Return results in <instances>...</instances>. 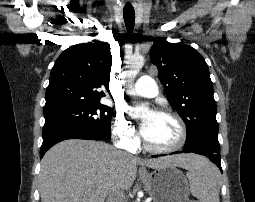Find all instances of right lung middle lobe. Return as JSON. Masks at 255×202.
<instances>
[{
    "label": "right lung middle lobe",
    "instance_id": "dd1d6c3e",
    "mask_svg": "<svg viewBox=\"0 0 255 202\" xmlns=\"http://www.w3.org/2000/svg\"><path fill=\"white\" fill-rule=\"evenodd\" d=\"M44 128L54 126H79L104 140L111 137V108L100 102L82 104L63 108L44 114Z\"/></svg>",
    "mask_w": 255,
    "mask_h": 202
}]
</instances>
